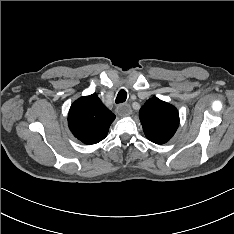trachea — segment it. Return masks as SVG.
I'll use <instances>...</instances> for the list:
<instances>
[{
  "label": "trachea",
  "mask_w": 234,
  "mask_h": 234,
  "mask_svg": "<svg viewBox=\"0 0 234 234\" xmlns=\"http://www.w3.org/2000/svg\"><path fill=\"white\" fill-rule=\"evenodd\" d=\"M127 99V93L124 89H121L119 92H118V95L116 97V100L115 102L118 104V103H123L125 102Z\"/></svg>",
  "instance_id": "3493384b"
}]
</instances>
